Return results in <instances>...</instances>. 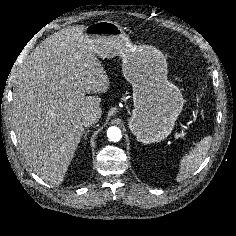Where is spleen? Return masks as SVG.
Instances as JSON below:
<instances>
[{
    "label": "spleen",
    "mask_w": 236,
    "mask_h": 236,
    "mask_svg": "<svg viewBox=\"0 0 236 236\" xmlns=\"http://www.w3.org/2000/svg\"><path fill=\"white\" fill-rule=\"evenodd\" d=\"M212 143V137H204L197 146L192 149L189 154L182 157L180 162V170L176 177L178 182L187 179L191 174H193L199 166L204 161L208 150L210 149Z\"/></svg>",
    "instance_id": "1"
}]
</instances>
